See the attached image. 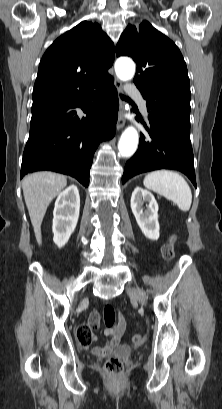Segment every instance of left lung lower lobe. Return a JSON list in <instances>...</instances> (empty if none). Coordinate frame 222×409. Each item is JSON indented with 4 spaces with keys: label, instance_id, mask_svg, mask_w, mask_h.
<instances>
[{
    "label": "left lung lower lobe",
    "instance_id": "obj_1",
    "mask_svg": "<svg viewBox=\"0 0 222 409\" xmlns=\"http://www.w3.org/2000/svg\"><path fill=\"white\" fill-rule=\"evenodd\" d=\"M149 138L140 134L139 149L126 163L122 183L134 175L157 169L183 172L196 187L193 151L190 142V119L179 101L147 107Z\"/></svg>",
    "mask_w": 222,
    "mask_h": 409
}]
</instances>
